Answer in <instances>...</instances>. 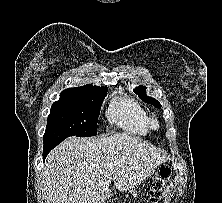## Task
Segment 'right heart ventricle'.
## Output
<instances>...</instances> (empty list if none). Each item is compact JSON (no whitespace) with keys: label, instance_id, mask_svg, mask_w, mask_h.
<instances>
[{"label":"right heart ventricle","instance_id":"right-heart-ventricle-1","mask_svg":"<svg viewBox=\"0 0 222 203\" xmlns=\"http://www.w3.org/2000/svg\"><path fill=\"white\" fill-rule=\"evenodd\" d=\"M108 119L131 134L145 135L151 128L150 117L144 108L129 97H116L109 105Z\"/></svg>","mask_w":222,"mask_h":203}]
</instances>
